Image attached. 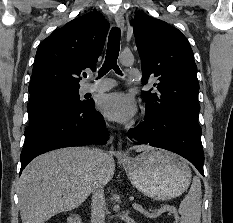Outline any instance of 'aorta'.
Wrapping results in <instances>:
<instances>
[{
    "label": "aorta",
    "instance_id": "1",
    "mask_svg": "<svg viewBox=\"0 0 233 223\" xmlns=\"http://www.w3.org/2000/svg\"><path fill=\"white\" fill-rule=\"evenodd\" d=\"M134 56H120V64L123 66H133Z\"/></svg>",
    "mask_w": 233,
    "mask_h": 223
}]
</instances>
